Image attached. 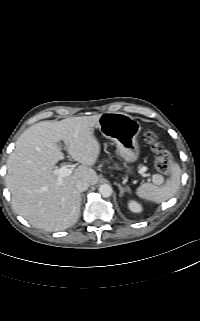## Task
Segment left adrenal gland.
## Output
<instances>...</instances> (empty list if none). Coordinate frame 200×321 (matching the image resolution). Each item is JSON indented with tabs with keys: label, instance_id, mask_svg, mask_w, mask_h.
<instances>
[{
	"label": "left adrenal gland",
	"instance_id": "obj_1",
	"mask_svg": "<svg viewBox=\"0 0 200 321\" xmlns=\"http://www.w3.org/2000/svg\"><path fill=\"white\" fill-rule=\"evenodd\" d=\"M117 186H118V188H119V190H120V194H119V196L120 197H122L123 196V193L125 192V191H129V188L128 187H122L120 184H117Z\"/></svg>",
	"mask_w": 200,
	"mask_h": 321
}]
</instances>
